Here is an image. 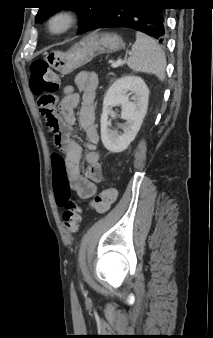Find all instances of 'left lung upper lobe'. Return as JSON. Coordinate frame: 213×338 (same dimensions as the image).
Masks as SVG:
<instances>
[{"label":"left lung upper lobe","mask_w":213,"mask_h":338,"mask_svg":"<svg viewBox=\"0 0 213 338\" xmlns=\"http://www.w3.org/2000/svg\"><path fill=\"white\" fill-rule=\"evenodd\" d=\"M104 0H78L74 2H79L87 4L81 7H75L74 9L78 12L80 16V27L78 33H81L88 23L95 17V15L100 10ZM42 6L39 8V11L36 15V21H42L52 15L54 12L58 11L60 8L53 7L50 0H42Z\"/></svg>","instance_id":"1"}]
</instances>
